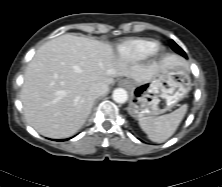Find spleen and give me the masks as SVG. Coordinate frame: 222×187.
<instances>
[{
  "label": "spleen",
  "mask_w": 222,
  "mask_h": 187,
  "mask_svg": "<svg viewBox=\"0 0 222 187\" xmlns=\"http://www.w3.org/2000/svg\"><path fill=\"white\" fill-rule=\"evenodd\" d=\"M186 111L187 105L184 104L170 114H165L156 118H143L139 120V125L151 141L162 143L175 133Z\"/></svg>",
  "instance_id": "spleen-1"
}]
</instances>
